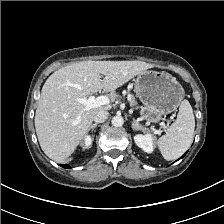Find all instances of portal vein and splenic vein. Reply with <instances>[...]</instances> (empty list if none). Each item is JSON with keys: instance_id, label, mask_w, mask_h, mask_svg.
I'll return each instance as SVG.
<instances>
[{"instance_id": "portal-vein-and-splenic-vein-1", "label": "portal vein and splenic vein", "mask_w": 224, "mask_h": 224, "mask_svg": "<svg viewBox=\"0 0 224 224\" xmlns=\"http://www.w3.org/2000/svg\"><path fill=\"white\" fill-rule=\"evenodd\" d=\"M75 100L83 104L85 106V110L100 107L110 103V100L107 96H90L89 98H76Z\"/></svg>"}]
</instances>
